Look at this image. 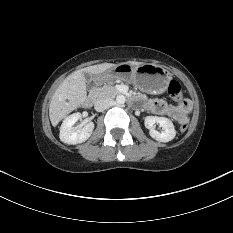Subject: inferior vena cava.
I'll use <instances>...</instances> for the list:
<instances>
[{
    "label": "inferior vena cava",
    "instance_id": "602c4592",
    "mask_svg": "<svg viewBox=\"0 0 233 233\" xmlns=\"http://www.w3.org/2000/svg\"><path fill=\"white\" fill-rule=\"evenodd\" d=\"M113 104V100L112 99H99L95 102L94 108L96 111L98 112H102L106 109H108L109 107H111Z\"/></svg>",
    "mask_w": 233,
    "mask_h": 233
}]
</instances>
